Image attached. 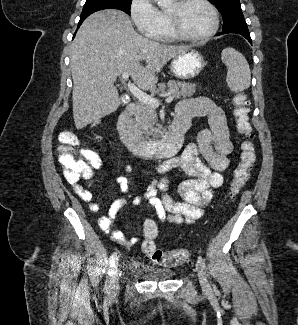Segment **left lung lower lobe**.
I'll return each mask as SVG.
<instances>
[{
	"label": "left lung lower lobe",
	"mask_w": 298,
	"mask_h": 325,
	"mask_svg": "<svg viewBox=\"0 0 298 325\" xmlns=\"http://www.w3.org/2000/svg\"><path fill=\"white\" fill-rule=\"evenodd\" d=\"M227 33L240 34V35L244 36L252 44L250 33H249V30H248V27H247V24L245 21L237 22V23H234L226 28H223L222 33H219L218 35L227 34Z\"/></svg>",
	"instance_id": "left-lung-lower-lobe-1"
}]
</instances>
